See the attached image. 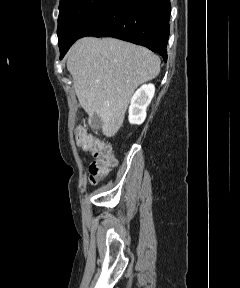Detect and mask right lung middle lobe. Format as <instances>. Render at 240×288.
Segmentation results:
<instances>
[{
	"mask_svg": "<svg viewBox=\"0 0 240 288\" xmlns=\"http://www.w3.org/2000/svg\"><path fill=\"white\" fill-rule=\"evenodd\" d=\"M114 0H60L58 45L60 52L80 38L83 31Z\"/></svg>",
	"mask_w": 240,
	"mask_h": 288,
	"instance_id": "right-lung-middle-lobe-1",
	"label": "right lung middle lobe"
}]
</instances>
